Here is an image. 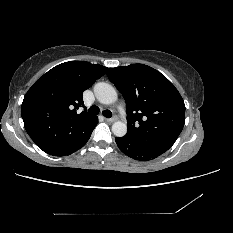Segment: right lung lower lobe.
Returning a JSON list of instances; mask_svg holds the SVG:
<instances>
[{"label": "right lung lower lobe", "instance_id": "98d812e1", "mask_svg": "<svg viewBox=\"0 0 233 233\" xmlns=\"http://www.w3.org/2000/svg\"><path fill=\"white\" fill-rule=\"evenodd\" d=\"M97 123H98V117L95 118V120L93 121L91 126L88 128V130L83 134V136L76 142L74 146L54 156L70 155L74 153L75 151H77L78 149H80L81 147H83L89 140L91 133L93 129L95 128V126L97 125Z\"/></svg>", "mask_w": 233, "mask_h": 233}]
</instances>
